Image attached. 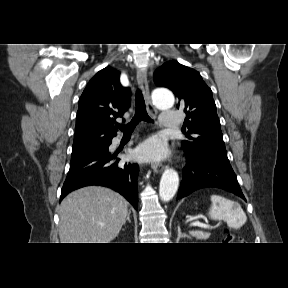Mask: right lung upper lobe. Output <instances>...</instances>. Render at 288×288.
<instances>
[{
  "mask_svg": "<svg viewBox=\"0 0 288 288\" xmlns=\"http://www.w3.org/2000/svg\"><path fill=\"white\" fill-rule=\"evenodd\" d=\"M130 88L120 83V72L100 70L89 81L79 100L72 150L105 146L116 136L115 118L130 107Z\"/></svg>",
  "mask_w": 288,
  "mask_h": 288,
  "instance_id": "cb5924a9",
  "label": "right lung upper lobe"
}]
</instances>
